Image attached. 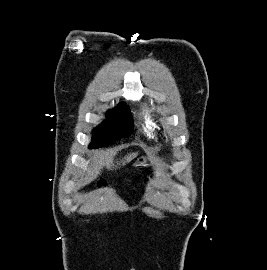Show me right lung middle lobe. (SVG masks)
Wrapping results in <instances>:
<instances>
[{"label": "right lung middle lobe", "mask_w": 267, "mask_h": 270, "mask_svg": "<svg viewBox=\"0 0 267 270\" xmlns=\"http://www.w3.org/2000/svg\"><path fill=\"white\" fill-rule=\"evenodd\" d=\"M133 130V120L128 106L121 102L118 107L109 111L106 121L93 130V141L90 148L106 146L119 138H126Z\"/></svg>", "instance_id": "dd1d6c3e"}]
</instances>
